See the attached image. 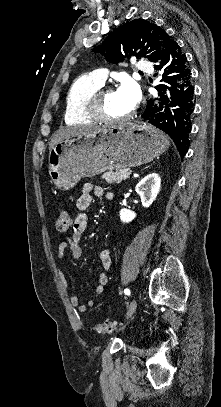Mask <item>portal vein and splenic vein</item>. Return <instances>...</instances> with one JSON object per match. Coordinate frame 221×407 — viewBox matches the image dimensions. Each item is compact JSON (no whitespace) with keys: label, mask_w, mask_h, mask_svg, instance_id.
Wrapping results in <instances>:
<instances>
[{"label":"portal vein and splenic vein","mask_w":221,"mask_h":407,"mask_svg":"<svg viewBox=\"0 0 221 407\" xmlns=\"http://www.w3.org/2000/svg\"><path fill=\"white\" fill-rule=\"evenodd\" d=\"M127 175H128V176L131 175V172L129 171V172L127 173Z\"/></svg>","instance_id":"portal-vein-and-splenic-vein-1"}]
</instances>
